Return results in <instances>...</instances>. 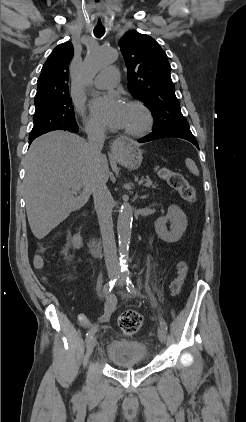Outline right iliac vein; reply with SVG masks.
<instances>
[{
	"mask_svg": "<svg viewBox=\"0 0 246 422\" xmlns=\"http://www.w3.org/2000/svg\"><path fill=\"white\" fill-rule=\"evenodd\" d=\"M109 277H110L111 279H112V278H114V277H115V273H113V272L109 273ZM96 344H97V340H96V338H95V337L91 338V339L88 341V343H87V350H86V355H87V357H89V356L92 354V352H93V350H94V348H95Z\"/></svg>",
	"mask_w": 246,
	"mask_h": 422,
	"instance_id": "63e3f726",
	"label": "right iliac vein"
}]
</instances>
